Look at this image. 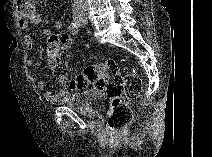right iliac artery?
<instances>
[{
    "label": "right iliac artery",
    "mask_w": 212,
    "mask_h": 157,
    "mask_svg": "<svg viewBox=\"0 0 212 157\" xmlns=\"http://www.w3.org/2000/svg\"><path fill=\"white\" fill-rule=\"evenodd\" d=\"M68 29H69V32L71 34H73V35L77 34L78 33V24L74 23V22H71L69 27H68Z\"/></svg>",
    "instance_id": "1"
}]
</instances>
